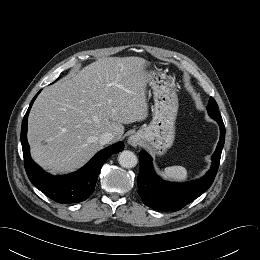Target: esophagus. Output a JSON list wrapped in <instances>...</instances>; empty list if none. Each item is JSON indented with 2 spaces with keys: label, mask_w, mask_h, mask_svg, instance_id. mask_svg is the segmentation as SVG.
Listing matches in <instances>:
<instances>
[{
  "label": "esophagus",
  "mask_w": 260,
  "mask_h": 260,
  "mask_svg": "<svg viewBox=\"0 0 260 260\" xmlns=\"http://www.w3.org/2000/svg\"><path fill=\"white\" fill-rule=\"evenodd\" d=\"M128 144L136 147L140 144V137L138 134H133L128 138Z\"/></svg>",
  "instance_id": "1"
}]
</instances>
